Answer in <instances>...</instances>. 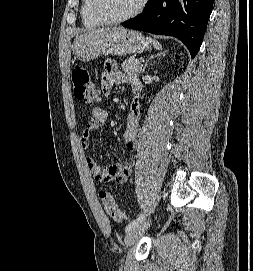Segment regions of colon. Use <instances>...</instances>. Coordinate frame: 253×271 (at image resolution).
<instances>
[{"label":"colon","mask_w":253,"mask_h":271,"mask_svg":"<svg viewBox=\"0 0 253 271\" xmlns=\"http://www.w3.org/2000/svg\"><path fill=\"white\" fill-rule=\"evenodd\" d=\"M74 95L89 105L97 104L101 97L95 84L92 82L89 73L80 66H76L71 73ZM102 206L114 221L123 222L127 215L120 210L114 197L106 191L100 192Z\"/></svg>","instance_id":"1"}]
</instances>
